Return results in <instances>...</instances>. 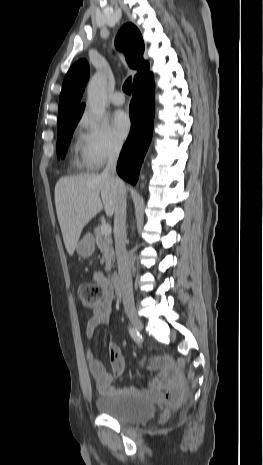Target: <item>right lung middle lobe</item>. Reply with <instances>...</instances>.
Here are the masks:
<instances>
[{
  "label": "right lung middle lobe",
  "instance_id": "obj_1",
  "mask_svg": "<svg viewBox=\"0 0 263 465\" xmlns=\"http://www.w3.org/2000/svg\"><path fill=\"white\" fill-rule=\"evenodd\" d=\"M83 111L76 112L71 116L57 123V155L58 157L64 158L68 145L70 143L73 131L79 122Z\"/></svg>",
  "mask_w": 263,
  "mask_h": 465
}]
</instances>
